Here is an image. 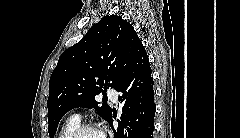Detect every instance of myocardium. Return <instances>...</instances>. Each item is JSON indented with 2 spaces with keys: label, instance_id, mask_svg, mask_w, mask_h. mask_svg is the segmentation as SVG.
I'll use <instances>...</instances> for the list:
<instances>
[{
  "label": "myocardium",
  "instance_id": "obj_1",
  "mask_svg": "<svg viewBox=\"0 0 240 138\" xmlns=\"http://www.w3.org/2000/svg\"><path fill=\"white\" fill-rule=\"evenodd\" d=\"M96 130L100 132L98 126L92 123L79 124L68 138H80L85 131Z\"/></svg>",
  "mask_w": 240,
  "mask_h": 138
}]
</instances>
